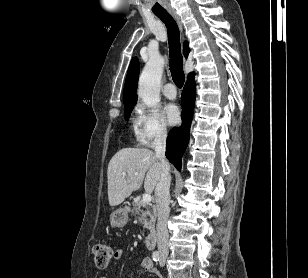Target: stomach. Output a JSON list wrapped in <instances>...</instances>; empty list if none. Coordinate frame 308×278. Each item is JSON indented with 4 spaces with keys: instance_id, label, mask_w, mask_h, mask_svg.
Listing matches in <instances>:
<instances>
[{
    "instance_id": "1",
    "label": "stomach",
    "mask_w": 308,
    "mask_h": 278,
    "mask_svg": "<svg viewBox=\"0 0 308 278\" xmlns=\"http://www.w3.org/2000/svg\"><path fill=\"white\" fill-rule=\"evenodd\" d=\"M128 221V211L126 208H119L110 215V223L113 227H123Z\"/></svg>"
}]
</instances>
